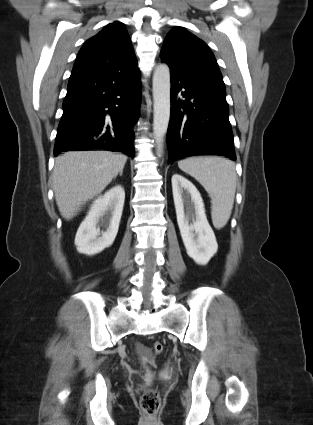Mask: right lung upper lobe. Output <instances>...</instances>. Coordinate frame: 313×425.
<instances>
[{
	"label": "right lung upper lobe",
	"instance_id": "obj_1",
	"mask_svg": "<svg viewBox=\"0 0 313 425\" xmlns=\"http://www.w3.org/2000/svg\"><path fill=\"white\" fill-rule=\"evenodd\" d=\"M137 60L123 23L108 24L80 49L73 70L119 67L132 69Z\"/></svg>",
	"mask_w": 313,
	"mask_h": 425
}]
</instances>
